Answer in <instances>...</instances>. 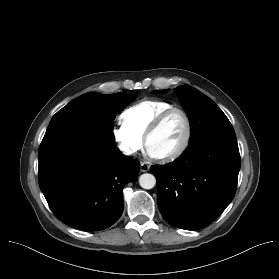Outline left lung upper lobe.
Returning a JSON list of instances; mask_svg holds the SVG:
<instances>
[{
  "label": "left lung upper lobe",
  "instance_id": "1",
  "mask_svg": "<svg viewBox=\"0 0 279 279\" xmlns=\"http://www.w3.org/2000/svg\"><path fill=\"white\" fill-rule=\"evenodd\" d=\"M168 90L156 91L165 93ZM190 120L191 134L189 145L208 136L235 134L226 115L206 95L197 89L183 85L176 93Z\"/></svg>",
  "mask_w": 279,
  "mask_h": 279
}]
</instances>
